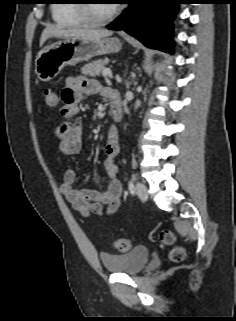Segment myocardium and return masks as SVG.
<instances>
[{
	"mask_svg": "<svg viewBox=\"0 0 236 321\" xmlns=\"http://www.w3.org/2000/svg\"><path fill=\"white\" fill-rule=\"evenodd\" d=\"M93 0H79V11L84 17L85 21L91 26H101L111 22L120 12V9L117 5H114L111 12L103 17L97 18L92 13V4Z\"/></svg>",
	"mask_w": 236,
	"mask_h": 321,
	"instance_id": "myocardium-1",
	"label": "myocardium"
}]
</instances>
